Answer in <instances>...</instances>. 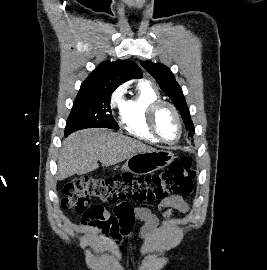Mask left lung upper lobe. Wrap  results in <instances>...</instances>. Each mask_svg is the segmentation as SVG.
Segmentation results:
<instances>
[{"instance_id": "obj_1", "label": "left lung upper lobe", "mask_w": 267, "mask_h": 270, "mask_svg": "<svg viewBox=\"0 0 267 270\" xmlns=\"http://www.w3.org/2000/svg\"><path fill=\"white\" fill-rule=\"evenodd\" d=\"M141 65L156 79L161 89L172 100L173 104L181 113L186 129L194 131V125L182 89L175 81L172 72L165 65L155 64L150 61H142Z\"/></svg>"}]
</instances>
